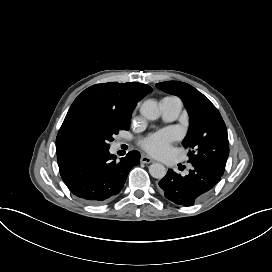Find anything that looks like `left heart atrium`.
Wrapping results in <instances>:
<instances>
[{
	"label": "left heart atrium",
	"instance_id": "obj_1",
	"mask_svg": "<svg viewBox=\"0 0 272 272\" xmlns=\"http://www.w3.org/2000/svg\"><path fill=\"white\" fill-rule=\"evenodd\" d=\"M171 139L170 131L163 130L147 140L144 147L153 155H163L169 150Z\"/></svg>",
	"mask_w": 272,
	"mask_h": 272
}]
</instances>
